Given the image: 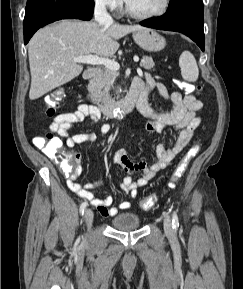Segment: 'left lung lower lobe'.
Wrapping results in <instances>:
<instances>
[{
    "label": "left lung lower lobe",
    "mask_w": 243,
    "mask_h": 289,
    "mask_svg": "<svg viewBox=\"0 0 243 289\" xmlns=\"http://www.w3.org/2000/svg\"><path fill=\"white\" fill-rule=\"evenodd\" d=\"M202 0H171L166 13L158 18L141 21L142 26L181 32L204 51Z\"/></svg>",
    "instance_id": "obj_1"
}]
</instances>
